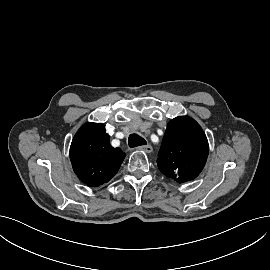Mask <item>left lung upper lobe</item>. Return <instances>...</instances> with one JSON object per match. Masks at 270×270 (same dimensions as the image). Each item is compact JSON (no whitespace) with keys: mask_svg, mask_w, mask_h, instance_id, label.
<instances>
[{"mask_svg":"<svg viewBox=\"0 0 270 270\" xmlns=\"http://www.w3.org/2000/svg\"><path fill=\"white\" fill-rule=\"evenodd\" d=\"M208 156V141L199 124L179 116L167 125L157 165L166 176L183 183L196 178Z\"/></svg>","mask_w":270,"mask_h":270,"instance_id":"left-lung-upper-lobe-1","label":"left lung upper lobe"}]
</instances>
